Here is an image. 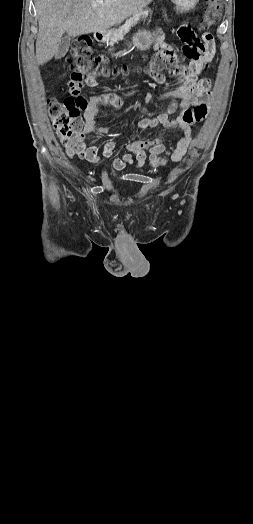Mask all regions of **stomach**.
<instances>
[{"label":"stomach","mask_w":253,"mask_h":524,"mask_svg":"<svg viewBox=\"0 0 253 524\" xmlns=\"http://www.w3.org/2000/svg\"><path fill=\"white\" fill-rule=\"evenodd\" d=\"M179 12H189L195 8L199 0H172ZM103 42L109 41L108 35H103ZM133 44L141 50L148 49L154 41L153 34L147 30H139L132 38Z\"/></svg>","instance_id":"0dacf381"}]
</instances>
